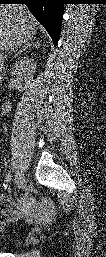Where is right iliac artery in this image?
Wrapping results in <instances>:
<instances>
[{
  "label": "right iliac artery",
  "mask_w": 106,
  "mask_h": 257,
  "mask_svg": "<svg viewBox=\"0 0 106 257\" xmlns=\"http://www.w3.org/2000/svg\"><path fill=\"white\" fill-rule=\"evenodd\" d=\"M7 181H8V182H13V185H14L15 189H18V188H19V186H18L16 180L14 181V180L12 179V175H11L10 172H9L8 175H7Z\"/></svg>",
  "instance_id": "82829eb1"
}]
</instances>
